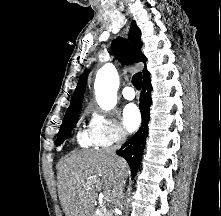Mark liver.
I'll use <instances>...</instances> for the list:
<instances>
[{
    "mask_svg": "<svg viewBox=\"0 0 221 216\" xmlns=\"http://www.w3.org/2000/svg\"><path fill=\"white\" fill-rule=\"evenodd\" d=\"M57 169L59 199L66 216H94L97 192H115L120 171L124 177L129 173L123 158L104 150L73 152L59 162Z\"/></svg>",
    "mask_w": 221,
    "mask_h": 216,
    "instance_id": "obj_1",
    "label": "liver"
}]
</instances>
